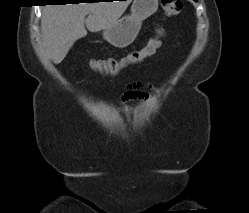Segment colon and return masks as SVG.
<instances>
[{"mask_svg": "<svg viewBox=\"0 0 249 213\" xmlns=\"http://www.w3.org/2000/svg\"><path fill=\"white\" fill-rule=\"evenodd\" d=\"M161 4L163 6L165 14L169 17L178 15L184 7V3L182 0H161ZM162 35L163 32L159 31L157 36L151 38L141 50L133 51L124 58L93 60L90 62V67L100 73L109 75L117 74L122 68L128 66L130 61L143 60L153 55L160 45V37Z\"/></svg>", "mask_w": 249, "mask_h": 213, "instance_id": "colon-1", "label": "colon"}]
</instances>
